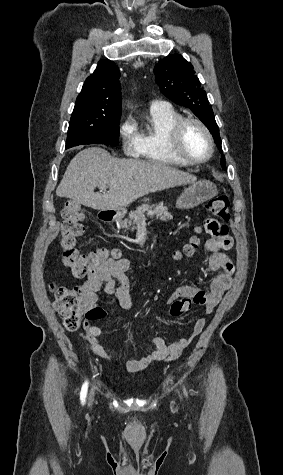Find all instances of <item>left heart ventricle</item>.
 <instances>
[{"label": "left heart ventricle", "instance_id": "obj_1", "mask_svg": "<svg viewBox=\"0 0 283 475\" xmlns=\"http://www.w3.org/2000/svg\"><path fill=\"white\" fill-rule=\"evenodd\" d=\"M166 153L173 157L202 158L209 152V143L202 130L195 124H188L179 144H165Z\"/></svg>", "mask_w": 283, "mask_h": 475}]
</instances>
